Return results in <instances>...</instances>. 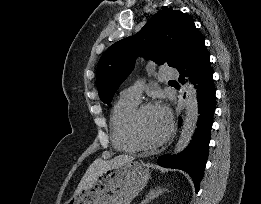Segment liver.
<instances>
[{"mask_svg": "<svg viewBox=\"0 0 261 204\" xmlns=\"http://www.w3.org/2000/svg\"><path fill=\"white\" fill-rule=\"evenodd\" d=\"M134 160V157L129 155H118L110 160L96 159L87 169L82 177L74 196L77 197L82 190L89 188L94 184L98 177L106 170L121 166Z\"/></svg>", "mask_w": 261, "mask_h": 204, "instance_id": "obj_1", "label": "liver"}]
</instances>
